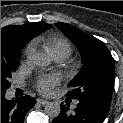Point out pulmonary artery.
<instances>
[{"label": "pulmonary artery", "instance_id": "pulmonary-artery-1", "mask_svg": "<svg viewBox=\"0 0 123 123\" xmlns=\"http://www.w3.org/2000/svg\"><path fill=\"white\" fill-rule=\"evenodd\" d=\"M55 60L58 62H62L65 60V57L64 56H58V57H55ZM76 105H77V102L74 103V107H76Z\"/></svg>", "mask_w": 123, "mask_h": 123}]
</instances>
